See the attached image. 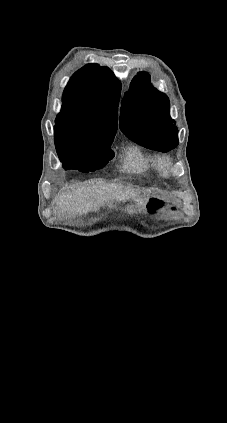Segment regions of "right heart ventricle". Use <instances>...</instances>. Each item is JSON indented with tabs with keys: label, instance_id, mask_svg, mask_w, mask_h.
<instances>
[{
	"label": "right heart ventricle",
	"instance_id": "right-heart-ventricle-1",
	"mask_svg": "<svg viewBox=\"0 0 227 423\" xmlns=\"http://www.w3.org/2000/svg\"><path fill=\"white\" fill-rule=\"evenodd\" d=\"M160 159L146 153L140 146H129L124 154L122 169L125 172L141 174L146 171H159Z\"/></svg>",
	"mask_w": 227,
	"mask_h": 423
}]
</instances>
